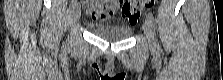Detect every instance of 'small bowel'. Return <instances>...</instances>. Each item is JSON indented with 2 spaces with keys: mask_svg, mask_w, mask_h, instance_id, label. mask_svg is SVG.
Returning a JSON list of instances; mask_svg holds the SVG:
<instances>
[{
  "mask_svg": "<svg viewBox=\"0 0 223 80\" xmlns=\"http://www.w3.org/2000/svg\"><path fill=\"white\" fill-rule=\"evenodd\" d=\"M116 12L113 5H107L105 3H90L87 7V13L91 15L93 19L97 18H109Z\"/></svg>",
  "mask_w": 223,
  "mask_h": 80,
  "instance_id": "small-bowel-1",
  "label": "small bowel"
}]
</instances>
